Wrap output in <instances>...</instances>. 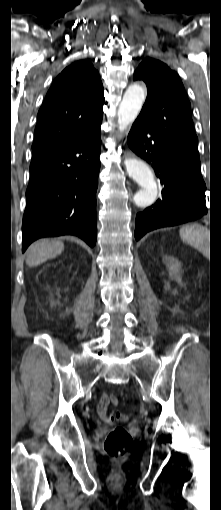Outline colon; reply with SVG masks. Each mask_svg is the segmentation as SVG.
<instances>
[{"mask_svg":"<svg viewBox=\"0 0 221 510\" xmlns=\"http://www.w3.org/2000/svg\"><path fill=\"white\" fill-rule=\"evenodd\" d=\"M112 405L118 404L116 396H112L110 399ZM111 422L127 420V416L122 413H112L110 416ZM133 440L130 433L124 427H115L109 431L104 442V449L108 456L113 459H120L124 457L132 448Z\"/></svg>","mask_w":221,"mask_h":510,"instance_id":"obj_1","label":"colon"}]
</instances>
